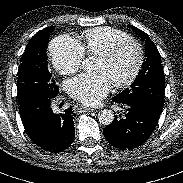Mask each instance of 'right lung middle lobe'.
Returning a JSON list of instances; mask_svg holds the SVG:
<instances>
[{
  "label": "right lung middle lobe",
  "instance_id": "1",
  "mask_svg": "<svg viewBox=\"0 0 183 183\" xmlns=\"http://www.w3.org/2000/svg\"><path fill=\"white\" fill-rule=\"evenodd\" d=\"M54 26L37 32L21 57L17 78L19 105L32 96L55 97L59 89L48 70L46 48Z\"/></svg>",
  "mask_w": 183,
  "mask_h": 183
}]
</instances>
